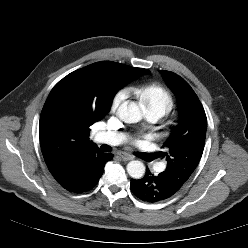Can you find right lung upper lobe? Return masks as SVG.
<instances>
[{"label": "right lung upper lobe", "instance_id": "obj_1", "mask_svg": "<svg viewBox=\"0 0 248 248\" xmlns=\"http://www.w3.org/2000/svg\"><path fill=\"white\" fill-rule=\"evenodd\" d=\"M120 63L101 61L76 70L51 90L40 116L41 150L50 173L58 178L82 153L98 148L89 141V127L107 114L123 87Z\"/></svg>", "mask_w": 248, "mask_h": 248}]
</instances>
